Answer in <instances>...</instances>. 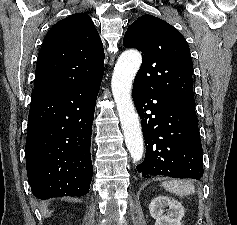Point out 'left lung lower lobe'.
Here are the masks:
<instances>
[{
  "label": "left lung lower lobe",
  "mask_w": 237,
  "mask_h": 225,
  "mask_svg": "<svg viewBox=\"0 0 237 225\" xmlns=\"http://www.w3.org/2000/svg\"><path fill=\"white\" fill-rule=\"evenodd\" d=\"M132 96L146 143L145 159L137 170L144 178L164 175L199 180L203 151L195 100L146 92L135 85Z\"/></svg>",
  "instance_id": "obj_1"
}]
</instances>
